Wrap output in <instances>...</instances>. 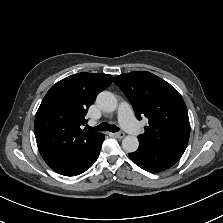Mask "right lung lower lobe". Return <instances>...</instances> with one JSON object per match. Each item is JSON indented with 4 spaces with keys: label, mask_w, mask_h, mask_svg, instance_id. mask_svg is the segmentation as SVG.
<instances>
[{
    "label": "right lung lower lobe",
    "mask_w": 223,
    "mask_h": 223,
    "mask_svg": "<svg viewBox=\"0 0 223 223\" xmlns=\"http://www.w3.org/2000/svg\"><path fill=\"white\" fill-rule=\"evenodd\" d=\"M104 141V135L102 134V137L100 139V143L98 145V147L96 148L95 152L93 153V155L91 156V158L73 175L71 176H75V175H79L83 172H85L86 170H88L97 160L99 153H100V149L102 146V142Z\"/></svg>",
    "instance_id": "1"
}]
</instances>
